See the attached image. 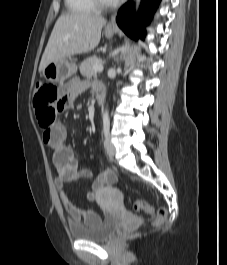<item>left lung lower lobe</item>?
<instances>
[{
	"instance_id": "1",
	"label": "left lung lower lobe",
	"mask_w": 227,
	"mask_h": 265,
	"mask_svg": "<svg viewBox=\"0 0 227 265\" xmlns=\"http://www.w3.org/2000/svg\"><path fill=\"white\" fill-rule=\"evenodd\" d=\"M160 0H142L139 17L134 16V4L126 3L118 12L117 24L130 37L144 38V26L150 21Z\"/></svg>"
}]
</instances>
